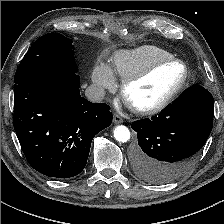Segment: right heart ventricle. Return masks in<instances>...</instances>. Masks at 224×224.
<instances>
[{
    "label": "right heart ventricle",
    "instance_id": "obj_1",
    "mask_svg": "<svg viewBox=\"0 0 224 224\" xmlns=\"http://www.w3.org/2000/svg\"><path fill=\"white\" fill-rule=\"evenodd\" d=\"M169 57H172V54L163 48L155 45H143L134 49L115 52L110 68L114 74L125 79L154 61Z\"/></svg>",
    "mask_w": 224,
    "mask_h": 224
}]
</instances>
